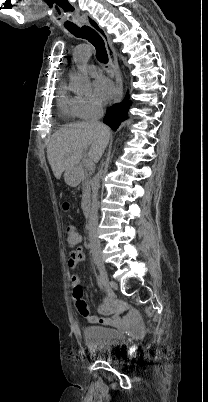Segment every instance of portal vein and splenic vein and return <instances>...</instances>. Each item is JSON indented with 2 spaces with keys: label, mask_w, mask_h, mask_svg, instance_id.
<instances>
[{
  "label": "portal vein and splenic vein",
  "mask_w": 208,
  "mask_h": 402,
  "mask_svg": "<svg viewBox=\"0 0 208 402\" xmlns=\"http://www.w3.org/2000/svg\"><path fill=\"white\" fill-rule=\"evenodd\" d=\"M84 166L85 168H87V170H91L92 166H93V160H87V157H84Z\"/></svg>",
  "instance_id": "portal-vein-and-splenic-vein-1"
}]
</instances>
